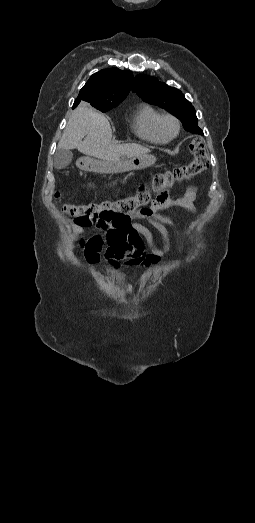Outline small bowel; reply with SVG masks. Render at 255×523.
Segmentation results:
<instances>
[{
  "label": "small bowel",
  "instance_id": "obj_1",
  "mask_svg": "<svg viewBox=\"0 0 255 523\" xmlns=\"http://www.w3.org/2000/svg\"><path fill=\"white\" fill-rule=\"evenodd\" d=\"M196 200V188L189 186L179 197L165 196L163 199L155 201L150 208L134 211L129 215L128 222L122 226L116 227L98 222L96 227L99 232L104 234V238L99 234L91 236L88 239L80 240L79 247L90 264H96L100 261L104 240L108 246L103 257L114 268H118L121 261L127 267H148L157 264L169 253L171 248V237L167 227H170L176 235L179 234L175 222L168 216L161 214L160 211L181 207L190 212H196ZM133 220H145L152 225L162 238V247L155 246L153 234L145 225ZM179 250H182V246L179 247Z\"/></svg>",
  "mask_w": 255,
  "mask_h": 523
}]
</instances>
